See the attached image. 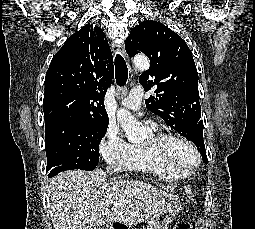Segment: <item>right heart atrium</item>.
Returning a JSON list of instances; mask_svg holds the SVG:
<instances>
[{"mask_svg":"<svg viewBox=\"0 0 255 229\" xmlns=\"http://www.w3.org/2000/svg\"><path fill=\"white\" fill-rule=\"evenodd\" d=\"M129 149L130 145L114 126H110L107 129L99 147L101 156L107 166L113 170H121L124 168Z\"/></svg>","mask_w":255,"mask_h":229,"instance_id":"right-heart-atrium-1","label":"right heart atrium"}]
</instances>
